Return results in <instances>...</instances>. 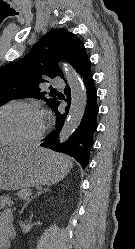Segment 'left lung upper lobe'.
Returning a JSON list of instances; mask_svg holds the SVG:
<instances>
[{"instance_id": "5c2ea615", "label": "left lung upper lobe", "mask_w": 135, "mask_h": 249, "mask_svg": "<svg viewBox=\"0 0 135 249\" xmlns=\"http://www.w3.org/2000/svg\"><path fill=\"white\" fill-rule=\"evenodd\" d=\"M68 61L78 74L90 63L82 41L64 28L46 33L21 60L0 68V106L17 98H41L50 107L58 99L51 92H42L39 85L47 78L63 77L58 61Z\"/></svg>"}]
</instances>
